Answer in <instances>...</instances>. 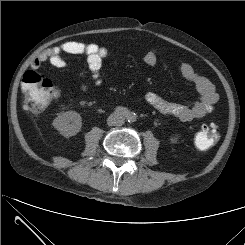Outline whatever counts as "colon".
<instances>
[{"label":"colon","mask_w":245,"mask_h":245,"mask_svg":"<svg viewBox=\"0 0 245 245\" xmlns=\"http://www.w3.org/2000/svg\"><path fill=\"white\" fill-rule=\"evenodd\" d=\"M22 91L24 105L28 111L39 112L45 109L59 96L58 87L44 75L29 70L22 78ZM219 138L216 126H203L195 136V144L198 149L206 150L212 147Z\"/></svg>","instance_id":"5ec220e1"}]
</instances>
